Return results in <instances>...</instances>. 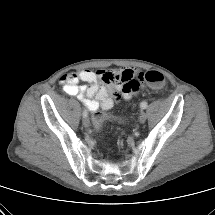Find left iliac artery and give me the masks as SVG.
Segmentation results:
<instances>
[{"label":"left iliac artery","mask_w":215,"mask_h":215,"mask_svg":"<svg viewBox=\"0 0 215 215\" xmlns=\"http://www.w3.org/2000/svg\"><path fill=\"white\" fill-rule=\"evenodd\" d=\"M147 102L146 101H142L141 103H140V107H141V109H146L147 108Z\"/></svg>","instance_id":"obj_1"}]
</instances>
